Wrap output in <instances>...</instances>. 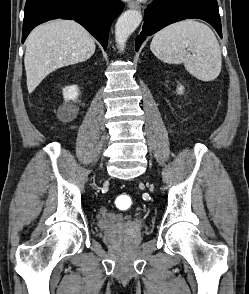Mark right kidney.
<instances>
[{
    "mask_svg": "<svg viewBox=\"0 0 249 294\" xmlns=\"http://www.w3.org/2000/svg\"><path fill=\"white\" fill-rule=\"evenodd\" d=\"M79 89L77 85H71L63 89L65 102L59 107L58 113L63 120L72 121L76 118L78 109L70 101H74L78 96Z\"/></svg>",
    "mask_w": 249,
    "mask_h": 294,
    "instance_id": "obj_1",
    "label": "right kidney"
}]
</instances>
